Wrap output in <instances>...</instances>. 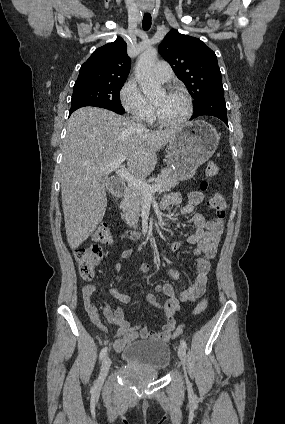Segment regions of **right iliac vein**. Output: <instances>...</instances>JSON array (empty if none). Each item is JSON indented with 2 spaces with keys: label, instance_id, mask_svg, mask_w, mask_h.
<instances>
[{
  "label": "right iliac vein",
  "instance_id": "obj_1",
  "mask_svg": "<svg viewBox=\"0 0 285 424\" xmlns=\"http://www.w3.org/2000/svg\"><path fill=\"white\" fill-rule=\"evenodd\" d=\"M110 365H111V359L109 356H105L103 361H102V365H101V369H100V375H99V383H103L108 372L110 369Z\"/></svg>",
  "mask_w": 285,
  "mask_h": 424
}]
</instances>
